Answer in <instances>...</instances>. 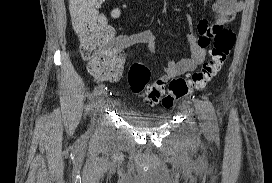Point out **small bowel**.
Segmentation results:
<instances>
[{"mask_svg":"<svg viewBox=\"0 0 272 183\" xmlns=\"http://www.w3.org/2000/svg\"><path fill=\"white\" fill-rule=\"evenodd\" d=\"M243 8L244 1L241 0H217L213 4V10L216 13L214 24L210 25L204 20L200 21L198 24L199 36L192 30L187 34L191 53L188 57H184L180 60L168 61L165 67L166 76L175 78L195 70L202 64L207 55L208 40L213 39L215 34H217V30L226 23L232 21L237 13L242 11ZM108 29L111 32L109 44L113 51L118 55L119 63L110 68L105 76L94 74L99 80L114 81L119 77L124 63L122 53L125 49L136 44H145L151 52L154 53L156 51V36L150 29L133 34L121 35H115L114 29L110 26H108Z\"/></svg>","mask_w":272,"mask_h":183,"instance_id":"small-bowel-1","label":"small bowel"}]
</instances>
